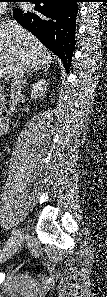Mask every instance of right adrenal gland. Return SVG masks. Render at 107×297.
Masks as SVG:
<instances>
[{
	"label": "right adrenal gland",
	"mask_w": 107,
	"mask_h": 297,
	"mask_svg": "<svg viewBox=\"0 0 107 297\" xmlns=\"http://www.w3.org/2000/svg\"><path fill=\"white\" fill-rule=\"evenodd\" d=\"M44 66V64H40L38 67L37 66H34L35 68L33 69V67H32V70H30V72H28V74H27V78H26V80H25V84H26V86L28 85V83H27V79H29V78H31L33 75L34 76H36L38 73V71L39 70H43V68H41V67H43Z\"/></svg>",
	"instance_id": "1"
}]
</instances>
